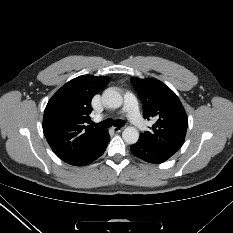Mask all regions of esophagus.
I'll return each instance as SVG.
<instances>
[{
  "label": "esophagus",
  "mask_w": 233,
  "mask_h": 233,
  "mask_svg": "<svg viewBox=\"0 0 233 233\" xmlns=\"http://www.w3.org/2000/svg\"><path fill=\"white\" fill-rule=\"evenodd\" d=\"M112 129L114 132L119 133L124 129V127H113Z\"/></svg>",
  "instance_id": "1"
}]
</instances>
